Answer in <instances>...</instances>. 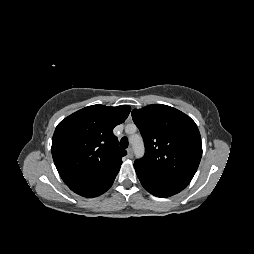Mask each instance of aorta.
Returning a JSON list of instances; mask_svg holds the SVG:
<instances>
[{
    "instance_id": "1",
    "label": "aorta",
    "mask_w": 254,
    "mask_h": 254,
    "mask_svg": "<svg viewBox=\"0 0 254 254\" xmlns=\"http://www.w3.org/2000/svg\"><path fill=\"white\" fill-rule=\"evenodd\" d=\"M130 141L134 146L135 154L137 157L143 156L144 148L142 138L139 135H132Z\"/></svg>"
}]
</instances>
